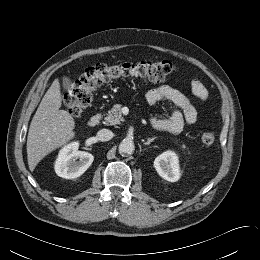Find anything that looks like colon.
Masks as SVG:
<instances>
[{
	"label": "colon",
	"mask_w": 260,
	"mask_h": 260,
	"mask_svg": "<svg viewBox=\"0 0 260 260\" xmlns=\"http://www.w3.org/2000/svg\"><path fill=\"white\" fill-rule=\"evenodd\" d=\"M175 70L169 61H141L121 64H97L87 68L64 96L68 112L78 117L93 100L95 91L103 83L118 79H140L151 83L164 82ZM201 141L212 145L216 140L214 128L201 133Z\"/></svg>",
	"instance_id": "colon-1"
}]
</instances>
